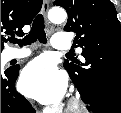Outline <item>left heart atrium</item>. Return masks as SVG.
Listing matches in <instances>:
<instances>
[{"mask_svg": "<svg viewBox=\"0 0 121 113\" xmlns=\"http://www.w3.org/2000/svg\"><path fill=\"white\" fill-rule=\"evenodd\" d=\"M20 85L26 95L43 104H55L64 97L67 80L53 62L39 58L25 68Z\"/></svg>", "mask_w": 121, "mask_h": 113, "instance_id": "39dd6f15", "label": "left heart atrium"}]
</instances>
